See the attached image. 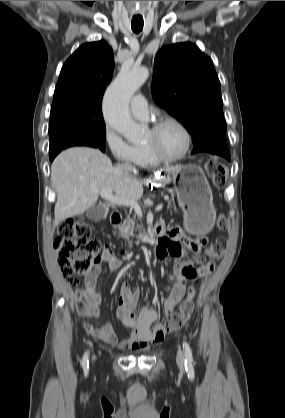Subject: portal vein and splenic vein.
Here are the masks:
<instances>
[{
    "instance_id": "portal-vein-and-splenic-vein-1",
    "label": "portal vein and splenic vein",
    "mask_w": 285,
    "mask_h": 418,
    "mask_svg": "<svg viewBox=\"0 0 285 418\" xmlns=\"http://www.w3.org/2000/svg\"><path fill=\"white\" fill-rule=\"evenodd\" d=\"M94 191L96 193H99L102 198L109 201L110 203L115 204V205L130 206L134 209L138 217L141 218L143 216L141 207L135 200L126 199L123 197L113 195L111 190H94ZM162 208H163V204H160L155 208V211H160L162 210Z\"/></svg>"
}]
</instances>
